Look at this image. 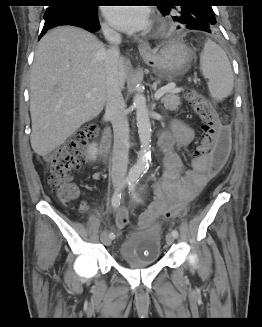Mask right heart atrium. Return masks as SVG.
<instances>
[{
	"label": "right heart atrium",
	"mask_w": 262,
	"mask_h": 327,
	"mask_svg": "<svg viewBox=\"0 0 262 327\" xmlns=\"http://www.w3.org/2000/svg\"><path fill=\"white\" fill-rule=\"evenodd\" d=\"M102 27H103L104 32H105L107 35H109V36H114V35H116L115 30H114V29H113L109 24L104 23V24L102 25Z\"/></svg>",
	"instance_id": "1"
}]
</instances>
